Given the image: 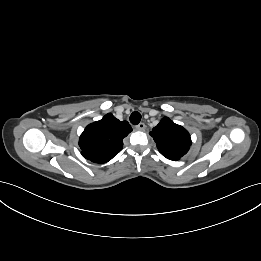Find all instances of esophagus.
<instances>
[{
    "mask_svg": "<svg viewBox=\"0 0 261 261\" xmlns=\"http://www.w3.org/2000/svg\"><path fill=\"white\" fill-rule=\"evenodd\" d=\"M146 128V125L144 123H139L137 126H136V129L139 130V131H143L145 130Z\"/></svg>",
    "mask_w": 261,
    "mask_h": 261,
    "instance_id": "esophagus-1",
    "label": "esophagus"
}]
</instances>
